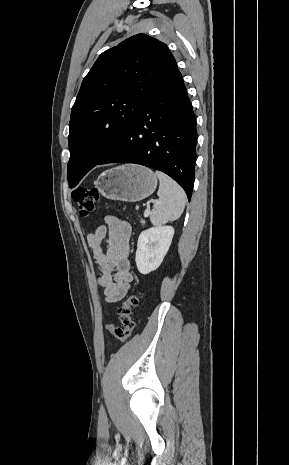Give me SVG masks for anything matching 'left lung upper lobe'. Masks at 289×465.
I'll use <instances>...</instances> for the list:
<instances>
[{
	"mask_svg": "<svg viewBox=\"0 0 289 465\" xmlns=\"http://www.w3.org/2000/svg\"><path fill=\"white\" fill-rule=\"evenodd\" d=\"M177 70L167 45L145 34L99 56L71 111L67 166L71 188L114 147L148 94Z\"/></svg>",
	"mask_w": 289,
	"mask_h": 465,
	"instance_id": "left-lung-upper-lobe-1",
	"label": "left lung upper lobe"
}]
</instances>
